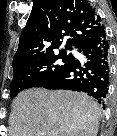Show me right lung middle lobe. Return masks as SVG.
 <instances>
[{
  "mask_svg": "<svg viewBox=\"0 0 117 136\" xmlns=\"http://www.w3.org/2000/svg\"><path fill=\"white\" fill-rule=\"evenodd\" d=\"M72 59L71 54L62 51L58 55L40 58L13 69L10 96L15 97L24 89L38 87L42 82L64 69Z\"/></svg>",
  "mask_w": 117,
  "mask_h": 136,
  "instance_id": "obj_1",
  "label": "right lung middle lobe"
}]
</instances>
